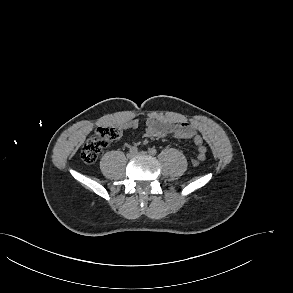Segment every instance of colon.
I'll return each mask as SVG.
<instances>
[{
  "instance_id": "obj_1",
  "label": "colon",
  "mask_w": 293,
  "mask_h": 293,
  "mask_svg": "<svg viewBox=\"0 0 293 293\" xmlns=\"http://www.w3.org/2000/svg\"><path fill=\"white\" fill-rule=\"evenodd\" d=\"M121 129L117 126H106L98 128L87 140L81 150V158L87 164H93L99 153L112 142L119 139ZM205 160V153L201 151L197 159L193 160L194 165H198Z\"/></svg>"
}]
</instances>
